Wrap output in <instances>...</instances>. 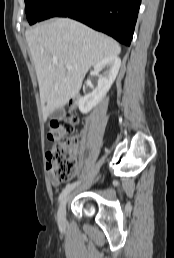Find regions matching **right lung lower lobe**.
Segmentation results:
<instances>
[{
	"label": "right lung lower lobe",
	"instance_id": "1",
	"mask_svg": "<svg viewBox=\"0 0 174 258\" xmlns=\"http://www.w3.org/2000/svg\"><path fill=\"white\" fill-rule=\"evenodd\" d=\"M140 4L141 0H53L42 20L69 17L129 46Z\"/></svg>",
	"mask_w": 174,
	"mask_h": 258
}]
</instances>
